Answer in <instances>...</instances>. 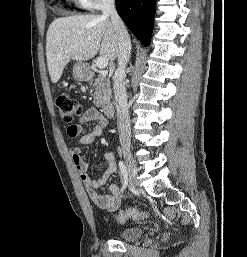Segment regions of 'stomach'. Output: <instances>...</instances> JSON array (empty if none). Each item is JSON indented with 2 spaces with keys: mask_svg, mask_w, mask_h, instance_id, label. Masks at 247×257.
<instances>
[{
  "mask_svg": "<svg viewBox=\"0 0 247 257\" xmlns=\"http://www.w3.org/2000/svg\"><path fill=\"white\" fill-rule=\"evenodd\" d=\"M73 76L78 81H87L89 78L88 65L83 62H77L73 67Z\"/></svg>",
  "mask_w": 247,
  "mask_h": 257,
  "instance_id": "1",
  "label": "stomach"
}]
</instances>
